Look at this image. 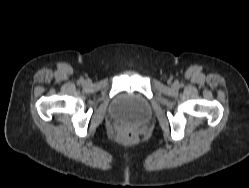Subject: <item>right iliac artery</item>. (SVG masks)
Segmentation results:
<instances>
[{
	"instance_id": "obj_1",
	"label": "right iliac artery",
	"mask_w": 249,
	"mask_h": 188,
	"mask_svg": "<svg viewBox=\"0 0 249 188\" xmlns=\"http://www.w3.org/2000/svg\"><path fill=\"white\" fill-rule=\"evenodd\" d=\"M79 82H83V79H80Z\"/></svg>"
}]
</instances>
